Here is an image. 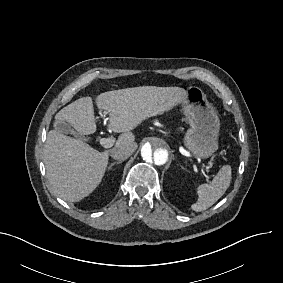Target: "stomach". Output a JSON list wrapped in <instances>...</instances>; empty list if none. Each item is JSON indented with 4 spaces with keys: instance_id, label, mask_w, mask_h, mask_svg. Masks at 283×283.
<instances>
[{
    "instance_id": "obj_1",
    "label": "stomach",
    "mask_w": 283,
    "mask_h": 283,
    "mask_svg": "<svg viewBox=\"0 0 283 283\" xmlns=\"http://www.w3.org/2000/svg\"><path fill=\"white\" fill-rule=\"evenodd\" d=\"M187 93V98L181 103L190 125L184 144L193 155L208 158L218 149L219 117L202 89L190 86Z\"/></svg>"
}]
</instances>
